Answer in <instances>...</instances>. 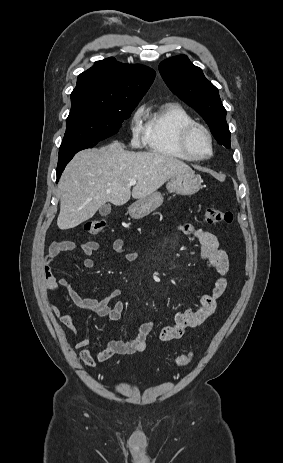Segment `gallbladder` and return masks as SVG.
<instances>
[{
  "label": "gallbladder",
  "instance_id": "obj_1",
  "mask_svg": "<svg viewBox=\"0 0 283 463\" xmlns=\"http://www.w3.org/2000/svg\"><path fill=\"white\" fill-rule=\"evenodd\" d=\"M111 212L110 204H104L99 208V213L101 215H108Z\"/></svg>",
  "mask_w": 283,
  "mask_h": 463
}]
</instances>
